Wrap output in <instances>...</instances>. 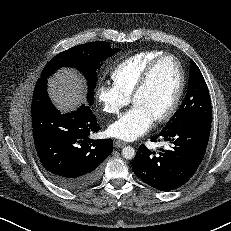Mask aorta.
<instances>
[{
    "instance_id": "762f6f07",
    "label": "aorta",
    "mask_w": 231,
    "mask_h": 231,
    "mask_svg": "<svg viewBox=\"0 0 231 231\" xmlns=\"http://www.w3.org/2000/svg\"><path fill=\"white\" fill-rule=\"evenodd\" d=\"M122 156L125 158V159H132L135 157V150L134 148L130 147V146H126L122 149Z\"/></svg>"
}]
</instances>
